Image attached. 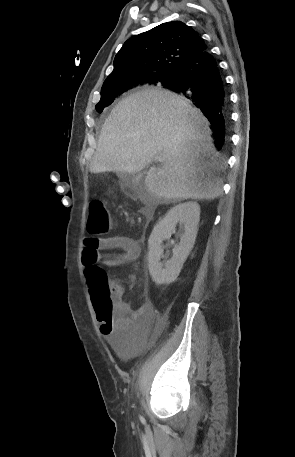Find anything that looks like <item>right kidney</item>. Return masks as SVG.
Returning a JSON list of instances; mask_svg holds the SVG:
<instances>
[{
	"instance_id": "1",
	"label": "right kidney",
	"mask_w": 295,
	"mask_h": 457,
	"mask_svg": "<svg viewBox=\"0 0 295 457\" xmlns=\"http://www.w3.org/2000/svg\"><path fill=\"white\" fill-rule=\"evenodd\" d=\"M200 206L196 202H185L171 208L165 217L153 228L148 240V267L153 281L157 285L174 282L182 266L193 249L198 231ZM179 223L183 234L180 243L173 249L172 258L163 266L160 262L163 254L162 243L171 237Z\"/></svg>"
}]
</instances>
